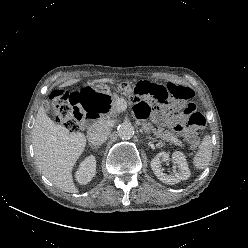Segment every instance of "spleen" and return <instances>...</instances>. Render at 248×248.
Returning <instances> with one entry per match:
<instances>
[{
    "label": "spleen",
    "mask_w": 248,
    "mask_h": 248,
    "mask_svg": "<svg viewBox=\"0 0 248 248\" xmlns=\"http://www.w3.org/2000/svg\"><path fill=\"white\" fill-rule=\"evenodd\" d=\"M212 140L206 135L198 147V151L193 157V165L197 170H203L207 167L212 157Z\"/></svg>",
    "instance_id": "1"
}]
</instances>
